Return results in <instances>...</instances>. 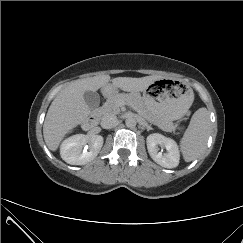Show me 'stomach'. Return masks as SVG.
<instances>
[{"instance_id": "obj_1", "label": "stomach", "mask_w": 243, "mask_h": 243, "mask_svg": "<svg viewBox=\"0 0 243 243\" xmlns=\"http://www.w3.org/2000/svg\"><path fill=\"white\" fill-rule=\"evenodd\" d=\"M107 93L110 88L105 87ZM144 107L161 120L172 122L181 119L194 101L193 90L178 81H155L143 91Z\"/></svg>"}]
</instances>
